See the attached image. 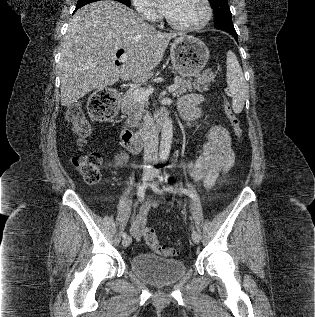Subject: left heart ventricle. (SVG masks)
Here are the masks:
<instances>
[{
	"instance_id": "obj_1",
	"label": "left heart ventricle",
	"mask_w": 315,
	"mask_h": 317,
	"mask_svg": "<svg viewBox=\"0 0 315 317\" xmlns=\"http://www.w3.org/2000/svg\"><path fill=\"white\" fill-rule=\"evenodd\" d=\"M169 10L167 15L181 25L197 24L205 16L202 0H167Z\"/></svg>"
}]
</instances>
